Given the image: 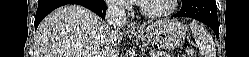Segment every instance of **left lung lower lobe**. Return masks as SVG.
Here are the masks:
<instances>
[{"instance_id": "1", "label": "left lung lower lobe", "mask_w": 249, "mask_h": 57, "mask_svg": "<svg viewBox=\"0 0 249 57\" xmlns=\"http://www.w3.org/2000/svg\"><path fill=\"white\" fill-rule=\"evenodd\" d=\"M173 17L197 19L212 28L217 38L219 37V23L215 0H183L181 10L173 15Z\"/></svg>"}]
</instances>
